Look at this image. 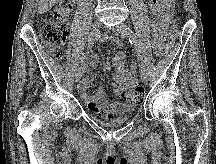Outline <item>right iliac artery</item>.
<instances>
[{
	"instance_id": "82829eb1",
	"label": "right iliac artery",
	"mask_w": 216,
	"mask_h": 164,
	"mask_svg": "<svg viewBox=\"0 0 216 164\" xmlns=\"http://www.w3.org/2000/svg\"><path fill=\"white\" fill-rule=\"evenodd\" d=\"M99 37H100V33L99 32H95V33H92L91 34V37H89V39H88V42H87V48L88 49H90V48H92V46H93V44H94V42L95 41H97L98 39H99ZM82 62V61H81ZM80 61L77 63L78 64V69L77 70H79L82 66H81V63Z\"/></svg>"
}]
</instances>
